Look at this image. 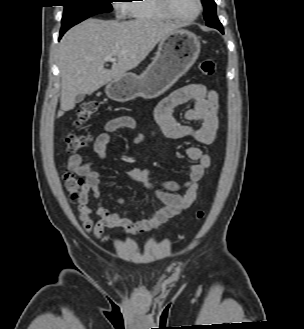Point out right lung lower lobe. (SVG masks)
Segmentation results:
<instances>
[{"label":"right lung lower lobe","instance_id":"1","mask_svg":"<svg viewBox=\"0 0 304 329\" xmlns=\"http://www.w3.org/2000/svg\"><path fill=\"white\" fill-rule=\"evenodd\" d=\"M64 33H65V32L61 31V32H60V37H59V38H61L62 35H63Z\"/></svg>","mask_w":304,"mask_h":329}]
</instances>
